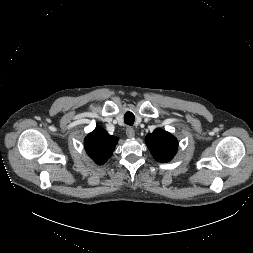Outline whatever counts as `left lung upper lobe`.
I'll use <instances>...</instances> for the list:
<instances>
[{"instance_id": "left-lung-upper-lobe-1", "label": "left lung upper lobe", "mask_w": 253, "mask_h": 253, "mask_svg": "<svg viewBox=\"0 0 253 253\" xmlns=\"http://www.w3.org/2000/svg\"><path fill=\"white\" fill-rule=\"evenodd\" d=\"M145 142L153 157L159 162H169L176 154L177 139L162 129H155L145 138Z\"/></svg>"}]
</instances>
